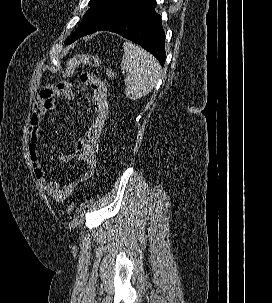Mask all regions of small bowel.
Listing matches in <instances>:
<instances>
[{"label": "small bowel", "instance_id": "1", "mask_svg": "<svg viewBox=\"0 0 272 303\" xmlns=\"http://www.w3.org/2000/svg\"><path fill=\"white\" fill-rule=\"evenodd\" d=\"M80 78L84 84L91 88V103L94 107V113L90 118L86 136L73 142L74 153H61L58 156L59 160L63 162H69L74 158H78L83 162L84 171L77 179L66 183L49 180L41 164L39 151L42 118L55 107L57 98L64 100H72L74 98V84L69 81H60L54 86L44 87L35 101L30 116L28 153L32 169L47 195L59 204L68 199L72 192L82 183L93 177L98 166L99 140L109 113L106 84L97 75L90 72L82 73Z\"/></svg>", "mask_w": 272, "mask_h": 303}]
</instances>
